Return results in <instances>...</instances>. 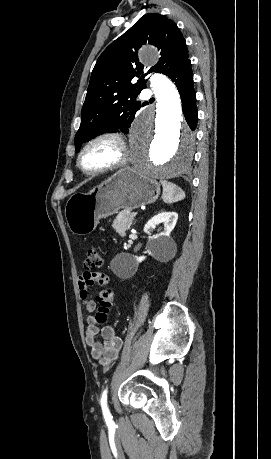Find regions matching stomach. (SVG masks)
<instances>
[{
    "mask_svg": "<svg viewBox=\"0 0 271 459\" xmlns=\"http://www.w3.org/2000/svg\"><path fill=\"white\" fill-rule=\"evenodd\" d=\"M160 184L135 172L121 168L114 176L95 186L89 194H74L65 206L67 226L76 235L94 231L101 218L113 216L118 210H133L158 200Z\"/></svg>",
    "mask_w": 271,
    "mask_h": 459,
    "instance_id": "0dacf381",
    "label": "stomach"
}]
</instances>
